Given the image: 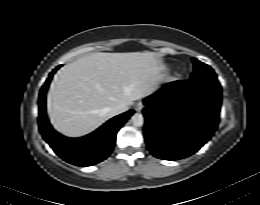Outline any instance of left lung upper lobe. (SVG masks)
I'll return each instance as SVG.
<instances>
[{"label": "left lung upper lobe", "mask_w": 260, "mask_h": 205, "mask_svg": "<svg viewBox=\"0 0 260 205\" xmlns=\"http://www.w3.org/2000/svg\"><path fill=\"white\" fill-rule=\"evenodd\" d=\"M193 62L194 72L190 77L191 81L219 85L217 76L210 66L198 61L197 59H193Z\"/></svg>", "instance_id": "5c2ea615"}]
</instances>
